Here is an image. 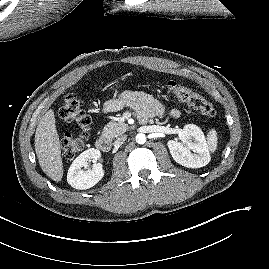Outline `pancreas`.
I'll return each mask as SVG.
<instances>
[{"label": "pancreas", "instance_id": "1", "mask_svg": "<svg viewBox=\"0 0 269 269\" xmlns=\"http://www.w3.org/2000/svg\"><path fill=\"white\" fill-rule=\"evenodd\" d=\"M128 129V125L125 123L111 122L105 126L102 132V136L108 139H113L119 135H122Z\"/></svg>", "mask_w": 269, "mask_h": 269}]
</instances>
